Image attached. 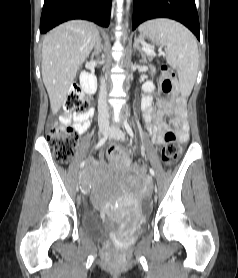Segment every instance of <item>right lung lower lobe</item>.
I'll return each mask as SVG.
<instances>
[{"mask_svg": "<svg viewBox=\"0 0 238 278\" xmlns=\"http://www.w3.org/2000/svg\"><path fill=\"white\" fill-rule=\"evenodd\" d=\"M112 0H45L41 14L40 32L72 19H85L107 27Z\"/></svg>", "mask_w": 238, "mask_h": 278, "instance_id": "obj_1", "label": "right lung lower lobe"}]
</instances>
